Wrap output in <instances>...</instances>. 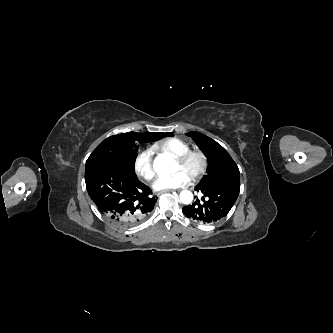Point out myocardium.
<instances>
[{"mask_svg":"<svg viewBox=\"0 0 333 333\" xmlns=\"http://www.w3.org/2000/svg\"><path fill=\"white\" fill-rule=\"evenodd\" d=\"M197 158L200 162L199 169L195 174H193L190 179L192 181H198L201 179L208 169V157L207 155L200 150H190L181 156L176 158V162L180 165H186L191 159Z\"/></svg>","mask_w":333,"mask_h":333,"instance_id":"1","label":"myocardium"}]
</instances>
